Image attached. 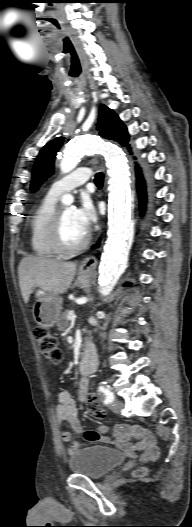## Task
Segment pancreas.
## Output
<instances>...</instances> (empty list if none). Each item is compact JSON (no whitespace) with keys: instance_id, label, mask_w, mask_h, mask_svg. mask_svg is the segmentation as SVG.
<instances>
[{"instance_id":"pancreas-1","label":"pancreas","mask_w":192,"mask_h":527,"mask_svg":"<svg viewBox=\"0 0 192 527\" xmlns=\"http://www.w3.org/2000/svg\"><path fill=\"white\" fill-rule=\"evenodd\" d=\"M68 313L69 311H65L64 313H62V315L58 319L57 326L60 330H64L66 327H68V324H69L68 319H67Z\"/></svg>"}]
</instances>
